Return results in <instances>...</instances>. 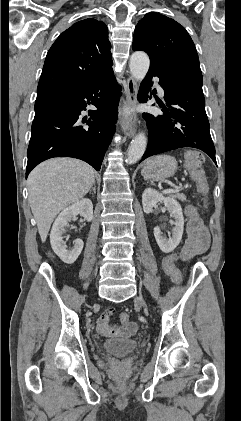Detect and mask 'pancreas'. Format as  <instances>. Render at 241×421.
Returning a JSON list of instances; mask_svg holds the SVG:
<instances>
[{"mask_svg":"<svg viewBox=\"0 0 241 421\" xmlns=\"http://www.w3.org/2000/svg\"><path fill=\"white\" fill-rule=\"evenodd\" d=\"M171 196L179 199L180 201H186V196L184 194L176 193V194H172Z\"/></svg>","mask_w":241,"mask_h":421,"instance_id":"obj_1","label":"pancreas"}]
</instances>
